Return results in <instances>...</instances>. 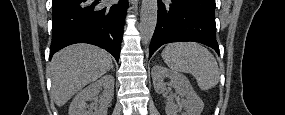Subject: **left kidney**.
Segmentation results:
<instances>
[{"instance_id":"left-kidney-1","label":"left kidney","mask_w":285,"mask_h":115,"mask_svg":"<svg viewBox=\"0 0 285 115\" xmlns=\"http://www.w3.org/2000/svg\"><path fill=\"white\" fill-rule=\"evenodd\" d=\"M165 78L171 80L177 94L184 98L178 105L167 100L165 108L166 114L177 115L178 109L184 108L186 115H200L204 108V103L194 91L186 76L178 72H173L163 66H154L152 69V80L157 93L165 92Z\"/></svg>"}]
</instances>
